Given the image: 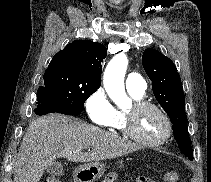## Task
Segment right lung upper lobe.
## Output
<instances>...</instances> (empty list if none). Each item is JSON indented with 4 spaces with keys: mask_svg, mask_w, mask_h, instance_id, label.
Returning <instances> with one entry per match:
<instances>
[{
    "mask_svg": "<svg viewBox=\"0 0 211 182\" xmlns=\"http://www.w3.org/2000/svg\"><path fill=\"white\" fill-rule=\"evenodd\" d=\"M106 56L104 45L90 40H76L59 51L48 68H59L80 79L101 85V62Z\"/></svg>",
    "mask_w": 211,
    "mask_h": 182,
    "instance_id": "obj_1",
    "label": "right lung upper lobe"
}]
</instances>
